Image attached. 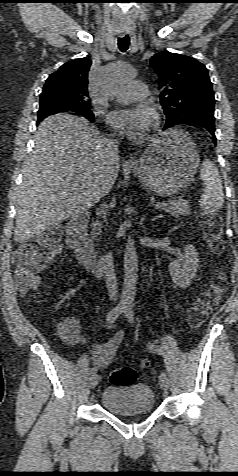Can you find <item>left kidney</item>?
Wrapping results in <instances>:
<instances>
[{
  "label": "left kidney",
  "instance_id": "5707ae66",
  "mask_svg": "<svg viewBox=\"0 0 238 476\" xmlns=\"http://www.w3.org/2000/svg\"><path fill=\"white\" fill-rule=\"evenodd\" d=\"M198 267V253L193 245H187L184 252L171 261L169 271L173 282L181 288H186L195 277Z\"/></svg>",
  "mask_w": 238,
  "mask_h": 476
}]
</instances>
